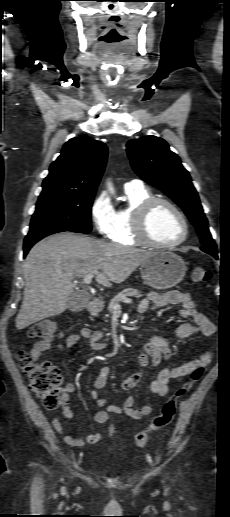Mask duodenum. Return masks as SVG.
<instances>
[{
    "mask_svg": "<svg viewBox=\"0 0 230 517\" xmlns=\"http://www.w3.org/2000/svg\"><path fill=\"white\" fill-rule=\"evenodd\" d=\"M89 313L91 314H98L102 311V303L97 298H92L87 307Z\"/></svg>",
    "mask_w": 230,
    "mask_h": 517,
    "instance_id": "duodenum-1",
    "label": "duodenum"
}]
</instances>
